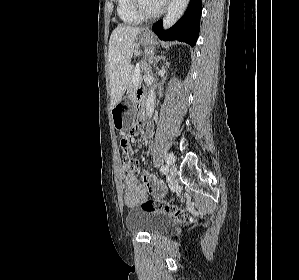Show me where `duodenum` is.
Here are the masks:
<instances>
[{
	"instance_id": "410a0bca",
	"label": "duodenum",
	"mask_w": 299,
	"mask_h": 280,
	"mask_svg": "<svg viewBox=\"0 0 299 280\" xmlns=\"http://www.w3.org/2000/svg\"><path fill=\"white\" fill-rule=\"evenodd\" d=\"M138 106H139L140 112L142 113V116L145 118V103L143 101L142 94L138 95Z\"/></svg>"
}]
</instances>
